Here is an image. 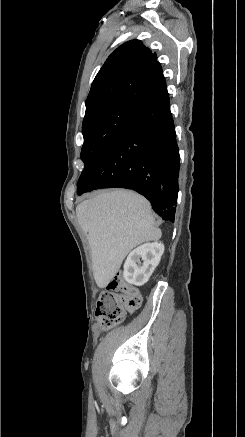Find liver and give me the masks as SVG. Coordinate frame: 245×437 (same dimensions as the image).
Segmentation results:
<instances>
[{
	"label": "liver",
	"instance_id": "obj_1",
	"mask_svg": "<svg viewBox=\"0 0 245 437\" xmlns=\"http://www.w3.org/2000/svg\"><path fill=\"white\" fill-rule=\"evenodd\" d=\"M79 225L91 249L93 276L104 288L136 246L160 239L150 203L128 190L100 192L76 207Z\"/></svg>",
	"mask_w": 245,
	"mask_h": 437
}]
</instances>
